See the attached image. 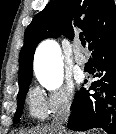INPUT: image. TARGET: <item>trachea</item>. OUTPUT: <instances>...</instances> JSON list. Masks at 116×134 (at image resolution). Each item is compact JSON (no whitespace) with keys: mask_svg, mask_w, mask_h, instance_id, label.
<instances>
[{"mask_svg":"<svg viewBox=\"0 0 116 134\" xmlns=\"http://www.w3.org/2000/svg\"><path fill=\"white\" fill-rule=\"evenodd\" d=\"M80 40H81V44H82L83 46H85V45H86L85 39H80Z\"/></svg>","mask_w":116,"mask_h":134,"instance_id":"trachea-1","label":"trachea"}]
</instances>
